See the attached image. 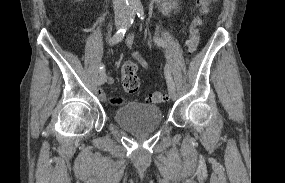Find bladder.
<instances>
[{
    "mask_svg": "<svg viewBox=\"0 0 285 183\" xmlns=\"http://www.w3.org/2000/svg\"><path fill=\"white\" fill-rule=\"evenodd\" d=\"M117 124L131 130L140 131L159 127L162 124V110L150 104L129 102L114 112Z\"/></svg>",
    "mask_w": 285,
    "mask_h": 183,
    "instance_id": "bladder-1",
    "label": "bladder"
}]
</instances>
